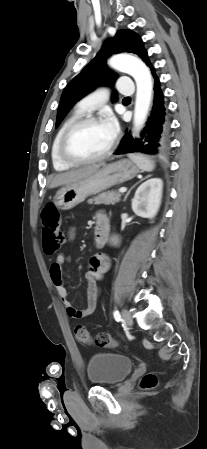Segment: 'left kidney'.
Instances as JSON below:
<instances>
[{"label": "left kidney", "instance_id": "5707ae66", "mask_svg": "<svg viewBox=\"0 0 207 449\" xmlns=\"http://www.w3.org/2000/svg\"><path fill=\"white\" fill-rule=\"evenodd\" d=\"M163 182L160 178H151L142 183L132 200V210L142 218L153 219L161 205Z\"/></svg>", "mask_w": 207, "mask_h": 449}]
</instances>
